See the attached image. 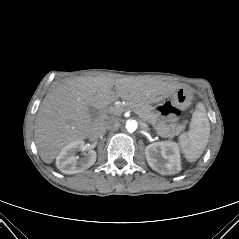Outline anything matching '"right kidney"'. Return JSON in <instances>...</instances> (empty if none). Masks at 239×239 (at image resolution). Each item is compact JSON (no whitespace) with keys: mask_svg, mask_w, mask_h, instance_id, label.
<instances>
[{"mask_svg":"<svg viewBox=\"0 0 239 239\" xmlns=\"http://www.w3.org/2000/svg\"><path fill=\"white\" fill-rule=\"evenodd\" d=\"M84 141H75L65 146L56 158L57 168L64 174H75L88 169L96 161V152L90 150L83 158L75 155L78 150L84 148Z\"/></svg>","mask_w":239,"mask_h":239,"instance_id":"right-kidney-1","label":"right kidney"}]
</instances>
